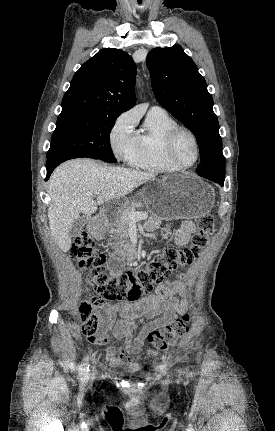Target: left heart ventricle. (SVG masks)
Wrapping results in <instances>:
<instances>
[{
  "instance_id": "obj_1",
  "label": "left heart ventricle",
  "mask_w": 275,
  "mask_h": 431,
  "mask_svg": "<svg viewBox=\"0 0 275 431\" xmlns=\"http://www.w3.org/2000/svg\"><path fill=\"white\" fill-rule=\"evenodd\" d=\"M176 159L184 165L192 163L195 159V146L191 137L185 133L180 134L174 147Z\"/></svg>"
}]
</instances>
